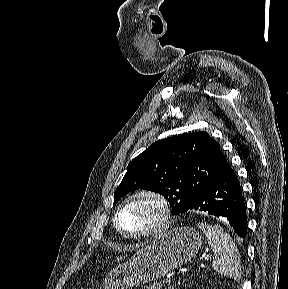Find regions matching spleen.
<instances>
[{
	"label": "spleen",
	"mask_w": 288,
	"mask_h": 289,
	"mask_svg": "<svg viewBox=\"0 0 288 289\" xmlns=\"http://www.w3.org/2000/svg\"><path fill=\"white\" fill-rule=\"evenodd\" d=\"M214 253L213 269L221 275L239 281L242 276L241 256L231 236L218 225L198 224Z\"/></svg>",
	"instance_id": "1"
}]
</instances>
